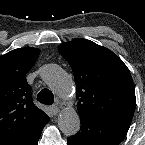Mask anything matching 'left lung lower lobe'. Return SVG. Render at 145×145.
<instances>
[{"instance_id":"1","label":"left lung lower lobe","mask_w":145,"mask_h":145,"mask_svg":"<svg viewBox=\"0 0 145 145\" xmlns=\"http://www.w3.org/2000/svg\"><path fill=\"white\" fill-rule=\"evenodd\" d=\"M80 132L68 137L69 145H119L130 127L131 121L115 118L80 117Z\"/></svg>"}]
</instances>
